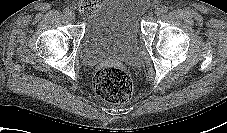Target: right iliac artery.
<instances>
[{"instance_id": "1", "label": "right iliac artery", "mask_w": 227, "mask_h": 133, "mask_svg": "<svg viewBox=\"0 0 227 133\" xmlns=\"http://www.w3.org/2000/svg\"><path fill=\"white\" fill-rule=\"evenodd\" d=\"M70 9L69 8H65L64 10H63V13L65 14V15H69L70 14Z\"/></svg>"}]
</instances>
